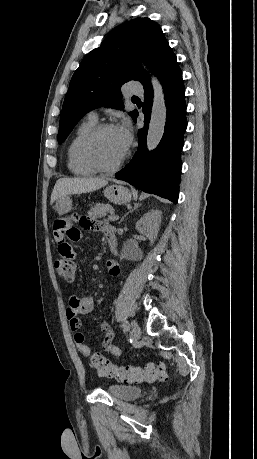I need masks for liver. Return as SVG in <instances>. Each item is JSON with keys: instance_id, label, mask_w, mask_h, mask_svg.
I'll use <instances>...</instances> for the list:
<instances>
[{"instance_id": "1", "label": "liver", "mask_w": 257, "mask_h": 459, "mask_svg": "<svg viewBox=\"0 0 257 459\" xmlns=\"http://www.w3.org/2000/svg\"><path fill=\"white\" fill-rule=\"evenodd\" d=\"M108 184V180L102 178H61L51 194V204L59 197L70 194L89 193L98 190Z\"/></svg>"}]
</instances>
